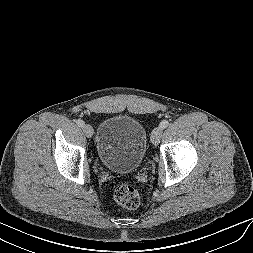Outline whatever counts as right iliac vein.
<instances>
[{"label": "right iliac vein", "instance_id": "right-iliac-vein-1", "mask_svg": "<svg viewBox=\"0 0 253 253\" xmlns=\"http://www.w3.org/2000/svg\"><path fill=\"white\" fill-rule=\"evenodd\" d=\"M82 130L84 132V134L87 136V137H92L93 136V128L92 126H90L89 124H84L82 126Z\"/></svg>", "mask_w": 253, "mask_h": 253}]
</instances>
